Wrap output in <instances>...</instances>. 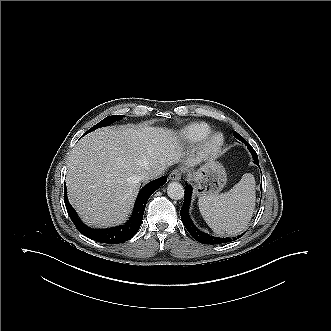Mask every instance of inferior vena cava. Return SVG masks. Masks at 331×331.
<instances>
[{"label": "inferior vena cava", "mask_w": 331, "mask_h": 331, "mask_svg": "<svg viewBox=\"0 0 331 331\" xmlns=\"http://www.w3.org/2000/svg\"><path fill=\"white\" fill-rule=\"evenodd\" d=\"M163 170H152L144 173L141 176V180L144 182L158 178L162 174Z\"/></svg>", "instance_id": "602c4592"}]
</instances>
